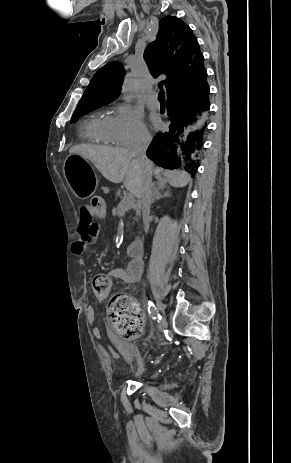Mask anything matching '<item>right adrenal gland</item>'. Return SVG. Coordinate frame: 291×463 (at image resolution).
Instances as JSON below:
<instances>
[{
  "label": "right adrenal gland",
  "mask_w": 291,
  "mask_h": 463,
  "mask_svg": "<svg viewBox=\"0 0 291 463\" xmlns=\"http://www.w3.org/2000/svg\"><path fill=\"white\" fill-rule=\"evenodd\" d=\"M164 189H165V185H158V186L153 187V192H152V202L153 203L156 200H160L161 198L171 196L169 189H167L165 193L162 195L160 191Z\"/></svg>",
  "instance_id": "obj_1"
}]
</instances>
